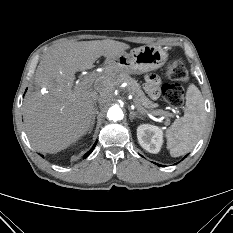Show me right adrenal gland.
<instances>
[{
  "instance_id": "right-adrenal-gland-1",
  "label": "right adrenal gland",
  "mask_w": 233,
  "mask_h": 233,
  "mask_svg": "<svg viewBox=\"0 0 233 233\" xmlns=\"http://www.w3.org/2000/svg\"><path fill=\"white\" fill-rule=\"evenodd\" d=\"M94 124H95V116H93V118H92L91 126H90V128H89V130H88V134H90V133H91V131H92V129H93V126H94Z\"/></svg>"
}]
</instances>
